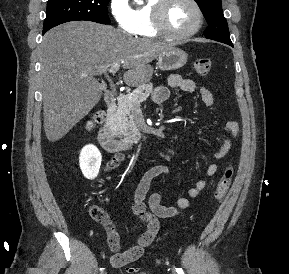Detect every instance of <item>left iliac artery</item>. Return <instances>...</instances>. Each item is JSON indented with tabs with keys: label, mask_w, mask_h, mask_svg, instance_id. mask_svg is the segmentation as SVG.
I'll use <instances>...</instances> for the list:
<instances>
[{
	"label": "left iliac artery",
	"mask_w": 289,
	"mask_h": 274,
	"mask_svg": "<svg viewBox=\"0 0 289 274\" xmlns=\"http://www.w3.org/2000/svg\"><path fill=\"white\" fill-rule=\"evenodd\" d=\"M175 269L178 274H184V271L182 270V268H175Z\"/></svg>",
	"instance_id": "1"
}]
</instances>
